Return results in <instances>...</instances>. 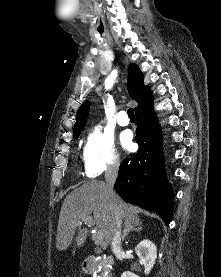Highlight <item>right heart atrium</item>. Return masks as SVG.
Returning <instances> with one entry per match:
<instances>
[{
  "instance_id": "1",
  "label": "right heart atrium",
  "mask_w": 221,
  "mask_h": 277,
  "mask_svg": "<svg viewBox=\"0 0 221 277\" xmlns=\"http://www.w3.org/2000/svg\"><path fill=\"white\" fill-rule=\"evenodd\" d=\"M83 159L85 172L89 177L116 170L120 165V156L113 135L102 126H94L88 133Z\"/></svg>"
}]
</instances>
